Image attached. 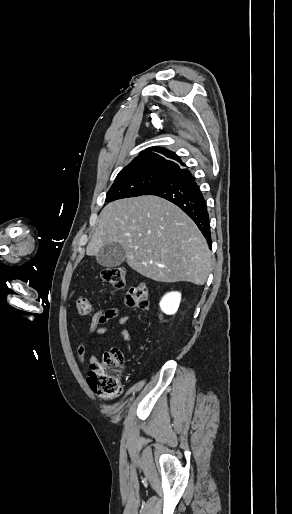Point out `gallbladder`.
Here are the masks:
<instances>
[{
  "mask_svg": "<svg viewBox=\"0 0 292 514\" xmlns=\"http://www.w3.org/2000/svg\"><path fill=\"white\" fill-rule=\"evenodd\" d=\"M126 252L118 242H110L100 248L98 254H96V260L100 266L104 268H116L124 262Z\"/></svg>",
  "mask_w": 292,
  "mask_h": 514,
  "instance_id": "bac80fb5",
  "label": "gallbladder"
}]
</instances>
